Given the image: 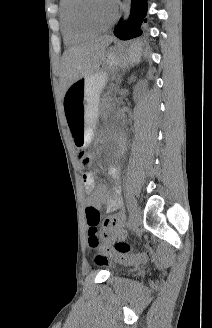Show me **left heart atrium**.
I'll return each instance as SVG.
<instances>
[{
    "label": "left heart atrium",
    "mask_w": 212,
    "mask_h": 328,
    "mask_svg": "<svg viewBox=\"0 0 212 328\" xmlns=\"http://www.w3.org/2000/svg\"><path fill=\"white\" fill-rule=\"evenodd\" d=\"M106 1L110 6H112L113 8L115 7L116 0H106Z\"/></svg>",
    "instance_id": "39dd6f15"
}]
</instances>
